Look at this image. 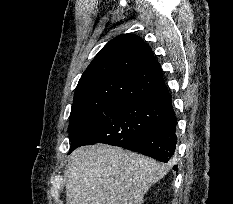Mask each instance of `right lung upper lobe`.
<instances>
[{"instance_id":"1","label":"right lung upper lobe","mask_w":233,"mask_h":204,"mask_svg":"<svg viewBox=\"0 0 233 204\" xmlns=\"http://www.w3.org/2000/svg\"><path fill=\"white\" fill-rule=\"evenodd\" d=\"M167 90L160 64L139 36L120 35L108 42L81 76L70 123L111 103L154 98Z\"/></svg>"}]
</instances>
